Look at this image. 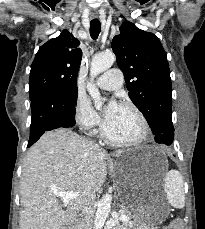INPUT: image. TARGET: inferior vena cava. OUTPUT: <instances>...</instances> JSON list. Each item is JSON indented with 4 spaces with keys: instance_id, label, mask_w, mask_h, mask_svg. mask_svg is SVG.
Masks as SVG:
<instances>
[{
    "instance_id": "1",
    "label": "inferior vena cava",
    "mask_w": 205,
    "mask_h": 229,
    "mask_svg": "<svg viewBox=\"0 0 205 229\" xmlns=\"http://www.w3.org/2000/svg\"><path fill=\"white\" fill-rule=\"evenodd\" d=\"M95 195L91 194L90 196L86 197L83 201L82 206V213L84 215L83 220V229H92L93 224V209L92 205L94 204Z\"/></svg>"
}]
</instances>
